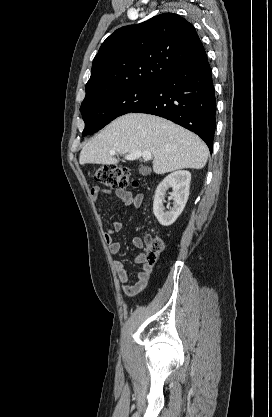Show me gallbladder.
<instances>
[{
  "label": "gallbladder",
  "instance_id": "bac80fb5",
  "mask_svg": "<svg viewBox=\"0 0 272 417\" xmlns=\"http://www.w3.org/2000/svg\"><path fill=\"white\" fill-rule=\"evenodd\" d=\"M139 172H140L142 175H148V174H150L151 170H150V168H149V167H147V166H141V167L139 168Z\"/></svg>",
  "mask_w": 272,
  "mask_h": 417
}]
</instances>
